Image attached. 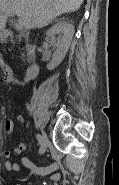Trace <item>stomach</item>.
I'll return each mask as SVG.
<instances>
[{
  "instance_id": "1",
  "label": "stomach",
  "mask_w": 119,
  "mask_h": 185,
  "mask_svg": "<svg viewBox=\"0 0 119 185\" xmlns=\"http://www.w3.org/2000/svg\"><path fill=\"white\" fill-rule=\"evenodd\" d=\"M7 38V33L4 30H0V41H5Z\"/></svg>"
}]
</instances>
